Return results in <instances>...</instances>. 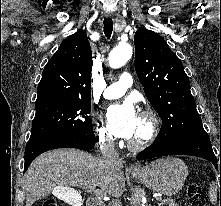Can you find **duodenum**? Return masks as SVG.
<instances>
[{
    "label": "duodenum",
    "instance_id": "obj_1",
    "mask_svg": "<svg viewBox=\"0 0 221 206\" xmlns=\"http://www.w3.org/2000/svg\"><path fill=\"white\" fill-rule=\"evenodd\" d=\"M87 206H104V203L99 198L91 197L87 201Z\"/></svg>",
    "mask_w": 221,
    "mask_h": 206
}]
</instances>
